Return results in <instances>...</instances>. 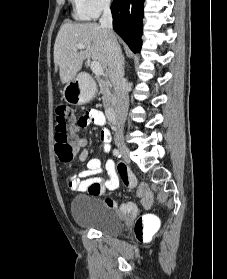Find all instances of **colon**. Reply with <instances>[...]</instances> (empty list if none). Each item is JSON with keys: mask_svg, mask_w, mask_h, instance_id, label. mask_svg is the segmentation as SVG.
<instances>
[{"mask_svg": "<svg viewBox=\"0 0 227 279\" xmlns=\"http://www.w3.org/2000/svg\"><path fill=\"white\" fill-rule=\"evenodd\" d=\"M56 124H55V153L62 163H71L76 155V147L72 140L73 127L80 125V121H76L72 109L64 104L56 105ZM119 172L126 175L127 170L124 166L119 167ZM91 192L99 193L101 187L97 183L89 185ZM154 225L147 215L141 216L135 225V234L138 238L147 237L153 230Z\"/></svg>", "mask_w": 227, "mask_h": 279, "instance_id": "obj_1", "label": "colon"}]
</instances>
